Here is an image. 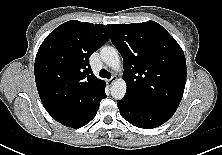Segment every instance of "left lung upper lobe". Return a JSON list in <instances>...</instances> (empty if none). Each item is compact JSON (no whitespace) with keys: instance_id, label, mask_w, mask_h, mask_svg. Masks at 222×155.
Returning a JSON list of instances; mask_svg holds the SVG:
<instances>
[{"instance_id":"1","label":"left lung upper lobe","mask_w":222,"mask_h":155,"mask_svg":"<svg viewBox=\"0 0 222 155\" xmlns=\"http://www.w3.org/2000/svg\"><path fill=\"white\" fill-rule=\"evenodd\" d=\"M108 29L123 57L124 98L174 114L186 83V60L176 40L154 21L109 24Z\"/></svg>"}]
</instances>
